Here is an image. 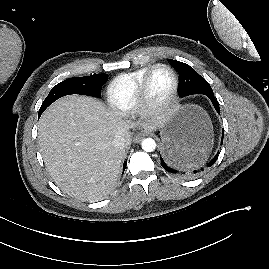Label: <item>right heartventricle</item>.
I'll return each instance as SVG.
<instances>
[{"mask_svg":"<svg viewBox=\"0 0 269 269\" xmlns=\"http://www.w3.org/2000/svg\"><path fill=\"white\" fill-rule=\"evenodd\" d=\"M149 67L122 73L113 78L106 90L109 105L121 114H129L136 108V93L140 80Z\"/></svg>","mask_w":269,"mask_h":269,"instance_id":"1","label":"right heart ventricle"}]
</instances>
